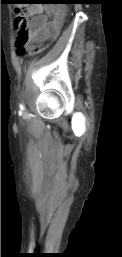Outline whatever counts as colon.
Returning a JSON list of instances; mask_svg holds the SVG:
<instances>
[{"label": "colon", "instance_id": "obj_1", "mask_svg": "<svg viewBox=\"0 0 122 257\" xmlns=\"http://www.w3.org/2000/svg\"><path fill=\"white\" fill-rule=\"evenodd\" d=\"M14 25L18 30V34L16 36L15 45L17 48V53L19 56L24 54V47L27 42V31H28V20L26 17V13L23 8L16 9L15 18H14ZM60 30H55L54 34H52V39H57V35H60ZM50 44V41H45L39 43L38 45L32 48L33 54H38L44 51Z\"/></svg>", "mask_w": 122, "mask_h": 257}]
</instances>
